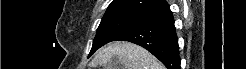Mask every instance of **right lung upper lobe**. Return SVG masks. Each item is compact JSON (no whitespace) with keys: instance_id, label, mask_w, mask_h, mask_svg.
<instances>
[{"instance_id":"obj_1","label":"right lung upper lobe","mask_w":246,"mask_h":69,"mask_svg":"<svg viewBox=\"0 0 246 69\" xmlns=\"http://www.w3.org/2000/svg\"><path fill=\"white\" fill-rule=\"evenodd\" d=\"M165 3V0H113L103 19L124 15H142Z\"/></svg>"}]
</instances>
